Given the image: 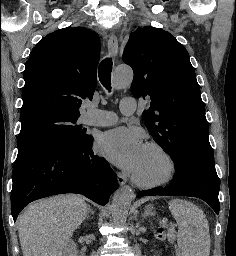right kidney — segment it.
I'll use <instances>...</instances> for the list:
<instances>
[{"label":"right kidney","mask_w":236,"mask_h":256,"mask_svg":"<svg viewBox=\"0 0 236 256\" xmlns=\"http://www.w3.org/2000/svg\"><path fill=\"white\" fill-rule=\"evenodd\" d=\"M77 252H78V250H77L74 242H69L66 256H77Z\"/></svg>","instance_id":"1"}]
</instances>
